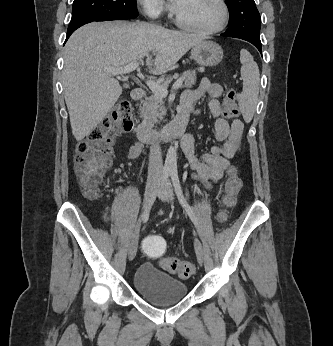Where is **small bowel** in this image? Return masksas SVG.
Listing matches in <instances>:
<instances>
[{
  "label": "small bowel",
  "instance_id": "small-bowel-1",
  "mask_svg": "<svg viewBox=\"0 0 333 346\" xmlns=\"http://www.w3.org/2000/svg\"><path fill=\"white\" fill-rule=\"evenodd\" d=\"M222 87L218 83H212L208 78H202L197 88L187 90L183 93L179 116L197 115L199 110L196 103L208 98V108L214 121L215 138L221 142L220 145L211 148L210 152L203 154L200 159L195 155V137L188 133L182 139L181 147L183 154L193 171L192 178L201 182L205 188L211 189L224 176L230 165V159L241 149L244 124L239 119L228 122L223 116L219 97ZM142 151L140 143H134L125 152L128 160L136 159ZM104 219H109L108 211Z\"/></svg>",
  "mask_w": 333,
  "mask_h": 346
}]
</instances>
